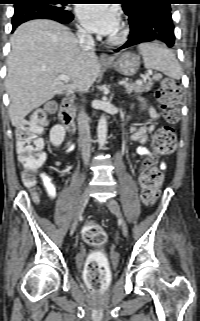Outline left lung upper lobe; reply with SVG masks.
Here are the masks:
<instances>
[{
    "label": "left lung upper lobe",
    "mask_w": 200,
    "mask_h": 321,
    "mask_svg": "<svg viewBox=\"0 0 200 321\" xmlns=\"http://www.w3.org/2000/svg\"><path fill=\"white\" fill-rule=\"evenodd\" d=\"M174 0H121L126 15L135 14L149 7H163L171 11Z\"/></svg>",
    "instance_id": "left-lung-upper-lobe-1"
}]
</instances>
